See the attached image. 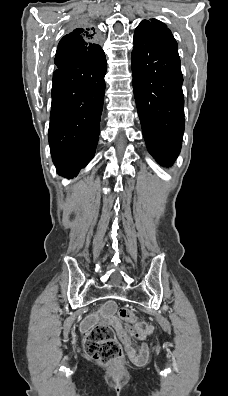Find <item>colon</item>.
<instances>
[{
	"instance_id": "obj_1",
	"label": "colon",
	"mask_w": 228,
	"mask_h": 396,
	"mask_svg": "<svg viewBox=\"0 0 228 396\" xmlns=\"http://www.w3.org/2000/svg\"><path fill=\"white\" fill-rule=\"evenodd\" d=\"M118 315L125 322L134 324L138 333L147 335L152 330L146 322H138L133 311L128 308H120ZM84 349L91 360L102 365L114 363L123 357L122 348L108 325L94 327L87 336Z\"/></svg>"
}]
</instances>
